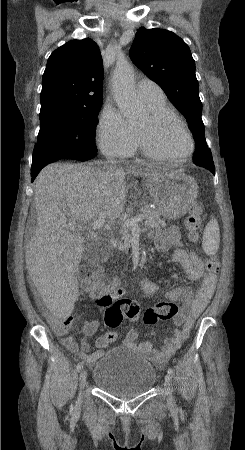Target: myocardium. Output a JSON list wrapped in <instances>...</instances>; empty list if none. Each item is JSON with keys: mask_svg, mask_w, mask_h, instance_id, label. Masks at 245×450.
<instances>
[{"mask_svg": "<svg viewBox=\"0 0 245 450\" xmlns=\"http://www.w3.org/2000/svg\"><path fill=\"white\" fill-rule=\"evenodd\" d=\"M150 119L154 125H159L167 119L174 121L176 124H178L181 127V129L186 134V136L189 140V143H190V149L188 150L187 153L178 155V156L164 155V154L158 152L157 150L153 149L150 146V144L147 142L145 137L138 131L139 143L142 148L143 154L147 158H149L151 160H156V161H172V160H184L193 155V153L195 152V149H196L195 140H194L189 128L187 127V125L178 117L177 114H175L171 110H167V109L156 110V111L151 112Z\"/></svg>", "mask_w": 245, "mask_h": 450, "instance_id": "obj_1", "label": "myocardium"}]
</instances>
